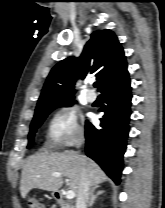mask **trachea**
<instances>
[{
	"label": "trachea",
	"mask_w": 165,
	"mask_h": 208,
	"mask_svg": "<svg viewBox=\"0 0 165 208\" xmlns=\"http://www.w3.org/2000/svg\"><path fill=\"white\" fill-rule=\"evenodd\" d=\"M94 87H98V83L97 82L94 83Z\"/></svg>",
	"instance_id": "obj_1"
}]
</instances>
